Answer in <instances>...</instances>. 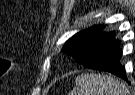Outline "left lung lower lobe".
I'll list each match as a JSON object with an SVG mask.
<instances>
[{"mask_svg":"<svg viewBox=\"0 0 135 95\" xmlns=\"http://www.w3.org/2000/svg\"><path fill=\"white\" fill-rule=\"evenodd\" d=\"M122 51L119 49V41L115 34L104 39L89 55L83 64L85 67L111 72L118 77L127 80L125 68L120 64Z\"/></svg>","mask_w":135,"mask_h":95,"instance_id":"1","label":"left lung lower lobe"}]
</instances>
